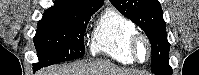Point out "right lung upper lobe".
Wrapping results in <instances>:
<instances>
[{
	"label": "right lung upper lobe",
	"instance_id": "1",
	"mask_svg": "<svg viewBox=\"0 0 199 75\" xmlns=\"http://www.w3.org/2000/svg\"><path fill=\"white\" fill-rule=\"evenodd\" d=\"M104 3V0H55L50 9L92 16Z\"/></svg>",
	"mask_w": 199,
	"mask_h": 75
}]
</instances>
